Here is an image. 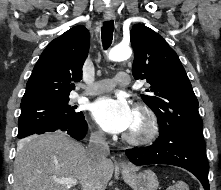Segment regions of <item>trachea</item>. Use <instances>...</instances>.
<instances>
[{
	"mask_svg": "<svg viewBox=\"0 0 221 190\" xmlns=\"http://www.w3.org/2000/svg\"><path fill=\"white\" fill-rule=\"evenodd\" d=\"M113 31H114V22L112 20L105 21L101 28L102 44L105 50L108 49L112 43Z\"/></svg>",
	"mask_w": 221,
	"mask_h": 190,
	"instance_id": "3493384b",
	"label": "trachea"
}]
</instances>
